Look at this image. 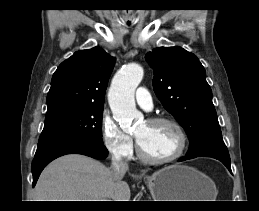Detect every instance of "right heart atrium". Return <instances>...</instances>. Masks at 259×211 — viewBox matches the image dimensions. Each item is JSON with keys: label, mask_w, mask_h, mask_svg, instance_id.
I'll return each mask as SVG.
<instances>
[{"label": "right heart atrium", "mask_w": 259, "mask_h": 211, "mask_svg": "<svg viewBox=\"0 0 259 211\" xmlns=\"http://www.w3.org/2000/svg\"><path fill=\"white\" fill-rule=\"evenodd\" d=\"M101 135L105 148L112 156L126 159L132 155V138L106 113L101 117Z\"/></svg>", "instance_id": "right-heart-atrium-1"}]
</instances>
